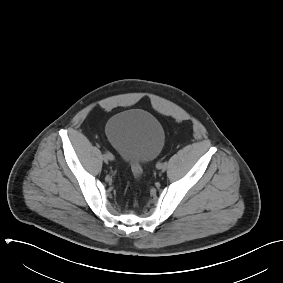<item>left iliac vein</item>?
<instances>
[{
    "instance_id": "left-iliac-vein-1",
    "label": "left iliac vein",
    "mask_w": 283,
    "mask_h": 283,
    "mask_svg": "<svg viewBox=\"0 0 283 283\" xmlns=\"http://www.w3.org/2000/svg\"><path fill=\"white\" fill-rule=\"evenodd\" d=\"M157 168L160 169L161 171H165L166 168H167V165L166 164H161Z\"/></svg>"
}]
</instances>
